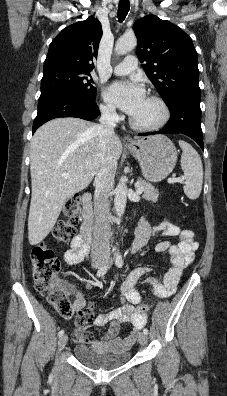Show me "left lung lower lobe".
<instances>
[{
  "label": "left lung lower lobe",
  "instance_id": "obj_1",
  "mask_svg": "<svg viewBox=\"0 0 227 396\" xmlns=\"http://www.w3.org/2000/svg\"><path fill=\"white\" fill-rule=\"evenodd\" d=\"M200 92H182L166 104L171 110L168 123L159 131L140 133L139 136L154 134H185L204 149L201 129Z\"/></svg>",
  "mask_w": 227,
  "mask_h": 396
}]
</instances>
